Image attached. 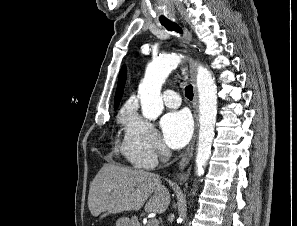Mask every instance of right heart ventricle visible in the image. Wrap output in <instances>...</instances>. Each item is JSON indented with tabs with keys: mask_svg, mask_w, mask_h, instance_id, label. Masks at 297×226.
<instances>
[{
	"mask_svg": "<svg viewBox=\"0 0 297 226\" xmlns=\"http://www.w3.org/2000/svg\"><path fill=\"white\" fill-rule=\"evenodd\" d=\"M127 114H128V111L127 112H124L121 116V120L124 122L126 117H127Z\"/></svg>",
	"mask_w": 297,
	"mask_h": 226,
	"instance_id": "obj_1",
	"label": "right heart ventricle"
}]
</instances>
